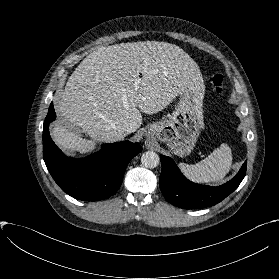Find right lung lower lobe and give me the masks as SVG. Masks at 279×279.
<instances>
[{"instance_id": "right-lung-lower-lobe-1", "label": "right lung lower lobe", "mask_w": 279, "mask_h": 279, "mask_svg": "<svg viewBox=\"0 0 279 279\" xmlns=\"http://www.w3.org/2000/svg\"><path fill=\"white\" fill-rule=\"evenodd\" d=\"M55 118L51 103L43 124V158L55 182L78 200L100 201L115 194L128 163L142 151L141 145L126 140L104 144L100 151L86 158H68L49 134V124Z\"/></svg>"}]
</instances>
